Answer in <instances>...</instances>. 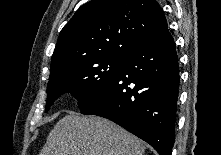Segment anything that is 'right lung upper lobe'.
<instances>
[{"instance_id":"1","label":"right lung upper lobe","mask_w":221,"mask_h":155,"mask_svg":"<svg viewBox=\"0 0 221 155\" xmlns=\"http://www.w3.org/2000/svg\"><path fill=\"white\" fill-rule=\"evenodd\" d=\"M167 28L156 0H91L60 32L50 75L79 60L126 56L139 41Z\"/></svg>"}]
</instances>
